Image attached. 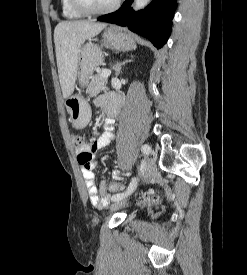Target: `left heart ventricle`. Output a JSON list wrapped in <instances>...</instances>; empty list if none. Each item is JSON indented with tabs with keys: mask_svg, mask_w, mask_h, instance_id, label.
I'll list each match as a JSON object with an SVG mask.
<instances>
[{
	"mask_svg": "<svg viewBox=\"0 0 247 275\" xmlns=\"http://www.w3.org/2000/svg\"><path fill=\"white\" fill-rule=\"evenodd\" d=\"M81 3L90 9H102L110 6L115 0H80Z\"/></svg>",
	"mask_w": 247,
	"mask_h": 275,
	"instance_id": "left-heart-ventricle-1",
	"label": "left heart ventricle"
}]
</instances>
